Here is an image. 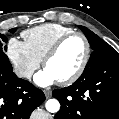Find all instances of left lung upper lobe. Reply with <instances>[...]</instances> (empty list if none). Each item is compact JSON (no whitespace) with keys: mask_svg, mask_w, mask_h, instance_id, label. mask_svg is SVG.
Segmentation results:
<instances>
[{"mask_svg":"<svg viewBox=\"0 0 119 119\" xmlns=\"http://www.w3.org/2000/svg\"><path fill=\"white\" fill-rule=\"evenodd\" d=\"M79 28L83 31L86 38L88 39V42L91 45V48L93 49V52L90 56V59L86 65V68L90 67L94 63L99 62L100 60L116 53V51L105 41H103L101 38H99L96 34H94L92 31H90L88 28L79 26ZM85 68V69H86Z\"/></svg>","mask_w":119,"mask_h":119,"instance_id":"left-lung-upper-lobe-1","label":"left lung upper lobe"}]
</instances>
